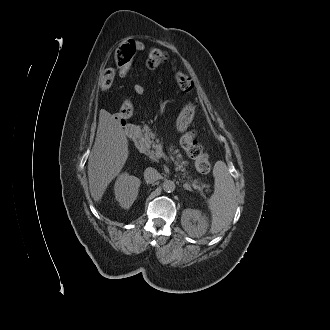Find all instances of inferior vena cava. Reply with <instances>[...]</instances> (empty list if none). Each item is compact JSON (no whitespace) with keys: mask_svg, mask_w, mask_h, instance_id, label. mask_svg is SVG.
<instances>
[{"mask_svg":"<svg viewBox=\"0 0 330 330\" xmlns=\"http://www.w3.org/2000/svg\"><path fill=\"white\" fill-rule=\"evenodd\" d=\"M160 178L158 171L152 167L146 168L144 171V179L147 183H154Z\"/></svg>","mask_w":330,"mask_h":330,"instance_id":"1","label":"inferior vena cava"}]
</instances>
